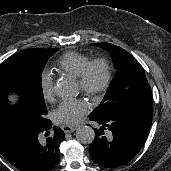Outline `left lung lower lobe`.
I'll return each mask as SVG.
<instances>
[{
	"label": "left lung lower lobe",
	"mask_w": 171,
	"mask_h": 171,
	"mask_svg": "<svg viewBox=\"0 0 171 171\" xmlns=\"http://www.w3.org/2000/svg\"><path fill=\"white\" fill-rule=\"evenodd\" d=\"M90 120L102 125L95 129V138L90 145L91 159L102 167L113 168L132 160L145 144L152 119L141 116H113ZM109 130L105 136L103 130Z\"/></svg>",
	"instance_id": "obj_1"
}]
</instances>
